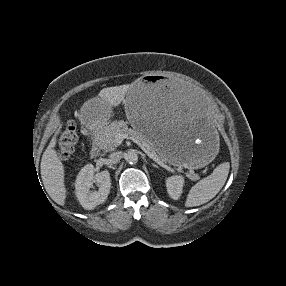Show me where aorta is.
<instances>
[{
	"label": "aorta",
	"instance_id": "1",
	"mask_svg": "<svg viewBox=\"0 0 286 286\" xmlns=\"http://www.w3.org/2000/svg\"><path fill=\"white\" fill-rule=\"evenodd\" d=\"M125 160L126 162H128L129 164H135L138 162V154L135 150H129L126 154H125Z\"/></svg>",
	"mask_w": 286,
	"mask_h": 286
}]
</instances>
